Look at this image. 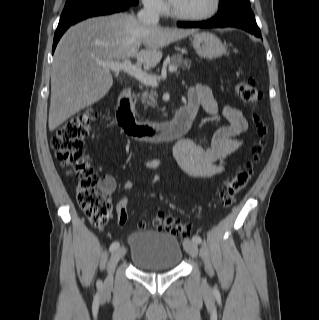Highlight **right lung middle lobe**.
I'll return each instance as SVG.
<instances>
[{
  "label": "right lung middle lobe",
  "mask_w": 319,
  "mask_h": 320,
  "mask_svg": "<svg viewBox=\"0 0 319 320\" xmlns=\"http://www.w3.org/2000/svg\"><path fill=\"white\" fill-rule=\"evenodd\" d=\"M130 2L133 4H138V0H66V4L64 10L62 12L61 18H65L66 16L77 12L81 9L87 8L89 6L100 4L104 2Z\"/></svg>",
  "instance_id": "1"
}]
</instances>
